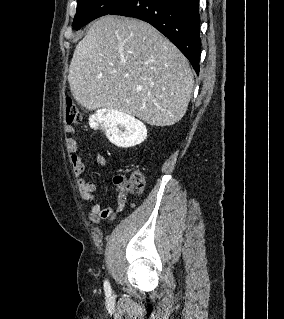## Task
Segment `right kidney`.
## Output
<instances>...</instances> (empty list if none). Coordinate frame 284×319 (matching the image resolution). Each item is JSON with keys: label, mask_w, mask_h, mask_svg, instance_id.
<instances>
[{"label": "right kidney", "mask_w": 284, "mask_h": 319, "mask_svg": "<svg viewBox=\"0 0 284 319\" xmlns=\"http://www.w3.org/2000/svg\"><path fill=\"white\" fill-rule=\"evenodd\" d=\"M89 125L101 126L109 141L122 148L139 145L147 137L146 126L140 120L119 110H98L90 116Z\"/></svg>", "instance_id": "obj_1"}]
</instances>
